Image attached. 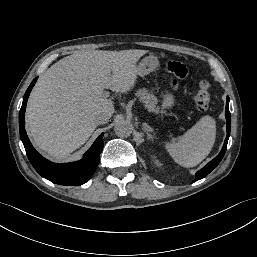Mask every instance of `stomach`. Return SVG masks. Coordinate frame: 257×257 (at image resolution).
<instances>
[{
    "label": "stomach",
    "mask_w": 257,
    "mask_h": 257,
    "mask_svg": "<svg viewBox=\"0 0 257 257\" xmlns=\"http://www.w3.org/2000/svg\"><path fill=\"white\" fill-rule=\"evenodd\" d=\"M158 58L153 55H149L141 60L137 65V75L144 77L153 71L154 66L158 63ZM174 105V96L171 93H166L163 97V106L165 108L172 107Z\"/></svg>",
    "instance_id": "1"
}]
</instances>
